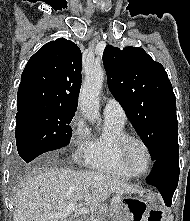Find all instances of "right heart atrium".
<instances>
[{"mask_svg": "<svg viewBox=\"0 0 190 221\" xmlns=\"http://www.w3.org/2000/svg\"><path fill=\"white\" fill-rule=\"evenodd\" d=\"M70 147L72 156L77 162H85L91 148L90 131L79 114H76L70 123Z\"/></svg>", "mask_w": 190, "mask_h": 221, "instance_id": "right-heart-atrium-1", "label": "right heart atrium"}]
</instances>
